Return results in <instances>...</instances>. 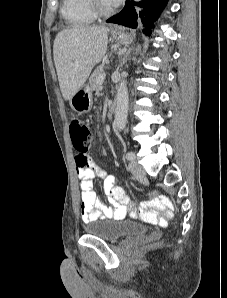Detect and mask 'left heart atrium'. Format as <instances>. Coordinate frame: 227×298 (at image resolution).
Instances as JSON below:
<instances>
[{
	"instance_id": "1",
	"label": "left heart atrium",
	"mask_w": 227,
	"mask_h": 298,
	"mask_svg": "<svg viewBox=\"0 0 227 298\" xmlns=\"http://www.w3.org/2000/svg\"><path fill=\"white\" fill-rule=\"evenodd\" d=\"M122 0H105L108 6H117Z\"/></svg>"
}]
</instances>
